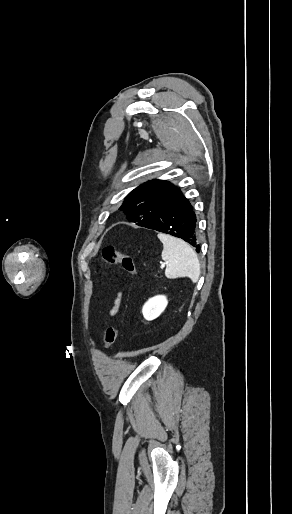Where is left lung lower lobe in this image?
I'll list each match as a JSON object with an SVG mask.
<instances>
[{"mask_svg": "<svg viewBox=\"0 0 292 514\" xmlns=\"http://www.w3.org/2000/svg\"><path fill=\"white\" fill-rule=\"evenodd\" d=\"M197 219L189 200L179 189L164 205L161 213L146 228L173 235L200 251Z\"/></svg>", "mask_w": 292, "mask_h": 514, "instance_id": "0a47b994", "label": "left lung lower lobe"}]
</instances>
